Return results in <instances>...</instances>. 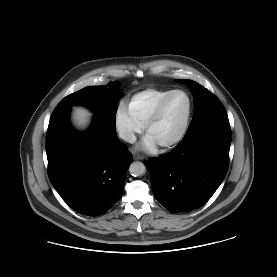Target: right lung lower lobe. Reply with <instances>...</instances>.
I'll return each instance as SVG.
<instances>
[{
	"label": "right lung lower lobe",
	"mask_w": 277,
	"mask_h": 277,
	"mask_svg": "<svg viewBox=\"0 0 277 277\" xmlns=\"http://www.w3.org/2000/svg\"><path fill=\"white\" fill-rule=\"evenodd\" d=\"M69 110H54L46 136L49 179L72 209L87 216L108 211L122 196L132 155L115 129L94 118L90 129H72Z\"/></svg>",
	"instance_id": "obj_1"
}]
</instances>
